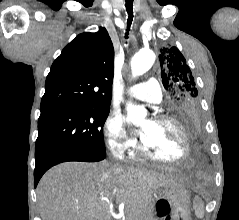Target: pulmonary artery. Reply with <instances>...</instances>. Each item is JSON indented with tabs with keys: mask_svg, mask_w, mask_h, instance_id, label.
<instances>
[{
	"mask_svg": "<svg viewBox=\"0 0 239 220\" xmlns=\"http://www.w3.org/2000/svg\"><path fill=\"white\" fill-rule=\"evenodd\" d=\"M125 94L131 98L152 103H159L162 99L161 87L154 78L130 87Z\"/></svg>",
	"mask_w": 239,
	"mask_h": 220,
	"instance_id": "1",
	"label": "pulmonary artery"
}]
</instances>
